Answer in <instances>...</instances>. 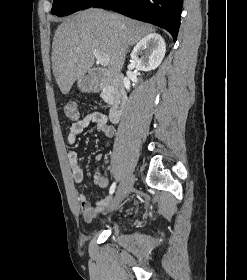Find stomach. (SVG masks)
<instances>
[{
    "label": "stomach",
    "instance_id": "1",
    "mask_svg": "<svg viewBox=\"0 0 247 280\" xmlns=\"http://www.w3.org/2000/svg\"><path fill=\"white\" fill-rule=\"evenodd\" d=\"M78 86L83 91H88L91 89V85L82 78L78 80Z\"/></svg>",
    "mask_w": 247,
    "mask_h": 280
}]
</instances>
